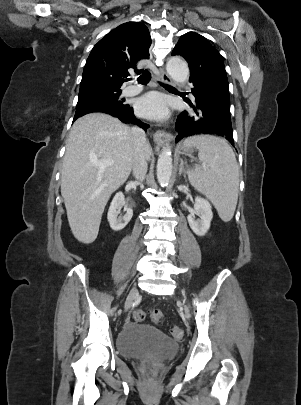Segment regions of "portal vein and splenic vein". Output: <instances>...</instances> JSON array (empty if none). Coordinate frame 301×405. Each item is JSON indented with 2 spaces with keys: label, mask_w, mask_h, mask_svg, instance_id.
Returning <instances> with one entry per match:
<instances>
[{
  "label": "portal vein and splenic vein",
  "mask_w": 301,
  "mask_h": 405,
  "mask_svg": "<svg viewBox=\"0 0 301 405\" xmlns=\"http://www.w3.org/2000/svg\"><path fill=\"white\" fill-rule=\"evenodd\" d=\"M112 164H113V161H111V160H104V161L98 163V165L101 167L111 166Z\"/></svg>",
  "instance_id": "1"
}]
</instances>
